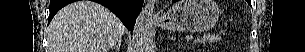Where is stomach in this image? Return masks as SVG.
Listing matches in <instances>:
<instances>
[{"label": "stomach", "mask_w": 305, "mask_h": 52, "mask_svg": "<svg viewBox=\"0 0 305 52\" xmlns=\"http://www.w3.org/2000/svg\"><path fill=\"white\" fill-rule=\"evenodd\" d=\"M220 15L214 0H180L158 21L167 31H206L214 27Z\"/></svg>", "instance_id": "stomach-1"}]
</instances>
